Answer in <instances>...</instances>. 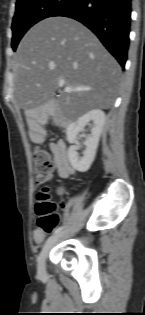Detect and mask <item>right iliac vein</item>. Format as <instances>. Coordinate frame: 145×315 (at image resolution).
Returning a JSON list of instances; mask_svg holds the SVG:
<instances>
[{
  "label": "right iliac vein",
  "mask_w": 145,
  "mask_h": 315,
  "mask_svg": "<svg viewBox=\"0 0 145 315\" xmlns=\"http://www.w3.org/2000/svg\"><path fill=\"white\" fill-rule=\"evenodd\" d=\"M62 233L51 236L43 246L38 259H37V269L38 274L43 277L46 274V259L50 249L57 242V240L61 237Z\"/></svg>",
  "instance_id": "63e3f726"
}]
</instances>
